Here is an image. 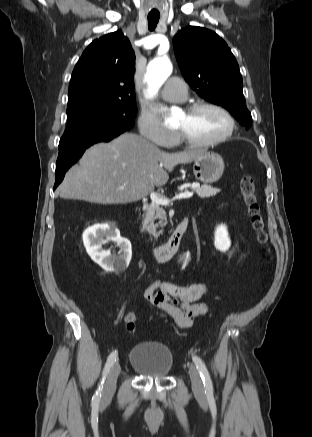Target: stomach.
<instances>
[{
    "instance_id": "0dacf381",
    "label": "stomach",
    "mask_w": 312,
    "mask_h": 437,
    "mask_svg": "<svg viewBox=\"0 0 312 437\" xmlns=\"http://www.w3.org/2000/svg\"><path fill=\"white\" fill-rule=\"evenodd\" d=\"M223 172V159L215 152L204 151L194 160L193 173L199 181L205 184L218 181Z\"/></svg>"
}]
</instances>
